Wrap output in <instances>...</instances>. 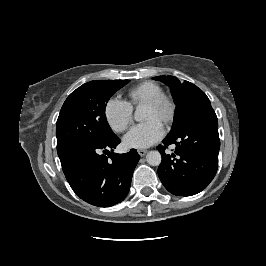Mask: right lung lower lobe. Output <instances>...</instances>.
Returning <instances> with one entry per match:
<instances>
[{
  "label": "right lung lower lobe",
  "instance_id": "1",
  "mask_svg": "<svg viewBox=\"0 0 266 266\" xmlns=\"http://www.w3.org/2000/svg\"><path fill=\"white\" fill-rule=\"evenodd\" d=\"M119 143L120 139L113 135L92 147L76 149L60 160L72 190L87 203L109 207L126 198L140 156L135 149L126 154L114 153Z\"/></svg>",
  "mask_w": 266,
  "mask_h": 266
}]
</instances>
